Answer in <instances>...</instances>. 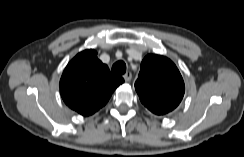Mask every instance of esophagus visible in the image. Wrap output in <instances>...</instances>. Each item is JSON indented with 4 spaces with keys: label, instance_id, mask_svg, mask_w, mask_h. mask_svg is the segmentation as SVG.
Segmentation results:
<instances>
[{
    "label": "esophagus",
    "instance_id": "esophagus-1",
    "mask_svg": "<svg viewBox=\"0 0 244 157\" xmlns=\"http://www.w3.org/2000/svg\"><path fill=\"white\" fill-rule=\"evenodd\" d=\"M123 78H124L125 82H130L131 79H132V74H131V72H126V73L123 75Z\"/></svg>",
    "mask_w": 244,
    "mask_h": 157
}]
</instances>
